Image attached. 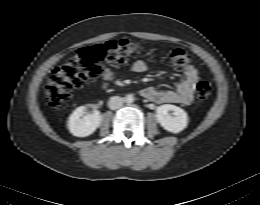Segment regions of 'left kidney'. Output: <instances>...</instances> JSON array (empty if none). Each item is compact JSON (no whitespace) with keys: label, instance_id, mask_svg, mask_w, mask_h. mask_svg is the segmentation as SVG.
Here are the masks:
<instances>
[{"label":"left kidney","instance_id":"1","mask_svg":"<svg viewBox=\"0 0 260 205\" xmlns=\"http://www.w3.org/2000/svg\"><path fill=\"white\" fill-rule=\"evenodd\" d=\"M169 111H173V115L169 114ZM156 119L165 130L175 134L183 131L188 125L187 113L170 104L157 107Z\"/></svg>","mask_w":260,"mask_h":205}]
</instances>
